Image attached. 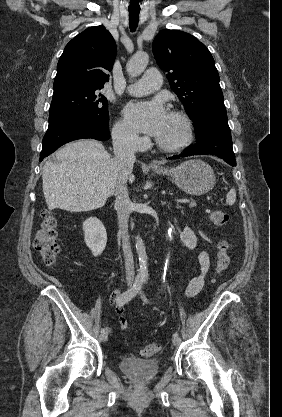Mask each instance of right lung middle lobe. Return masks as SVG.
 I'll list each match as a JSON object with an SVG mask.
<instances>
[{
    "label": "right lung middle lobe",
    "mask_w": 282,
    "mask_h": 417,
    "mask_svg": "<svg viewBox=\"0 0 282 417\" xmlns=\"http://www.w3.org/2000/svg\"><path fill=\"white\" fill-rule=\"evenodd\" d=\"M98 89L101 88L86 87L54 92L49 122L72 114H84L97 121H108V101L97 92Z\"/></svg>",
    "instance_id": "right-lung-middle-lobe-1"
}]
</instances>
